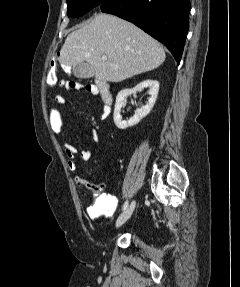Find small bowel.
<instances>
[{
    "mask_svg": "<svg viewBox=\"0 0 240 287\" xmlns=\"http://www.w3.org/2000/svg\"><path fill=\"white\" fill-rule=\"evenodd\" d=\"M86 90L92 94L97 95L98 89L94 85H88ZM59 101H64V97H59ZM110 114V106L106 103L103 104L101 117L106 118ZM93 140L96 143H99V135L95 130H92L90 132ZM63 149L65 152V155L67 157V163L68 168L71 171L76 170V162L77 158L88 161L92 158V151L90 149H84L79 151L75 146H73L71 143L64 141L63 142ZM97 186V189H94L93 187ZM90 187L94 190H101L103 188V185H90ZM118 199L116 196L111 194H101L96 198V201L93 204H90L87 207V213L88 216L95 221H100L109 214H111L117 207Z\"/></svg>",
    "mask_w": 240,
    "mask_h": 287,
    "instance_id": "small-bowel-1",
    "label": "small bowel"
}]
</instances>
